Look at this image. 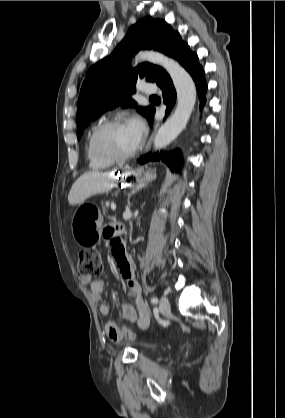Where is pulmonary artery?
Instances as JSON below:
<instances>
[{
	"instance_id": "1",
	"label": "pulmonary artery",
	"mask_w": 285,
	"mask_h": 418,
	"mask_svg": "<svg viewBox=\"0 0 285 418\" xmlns=\"http://www.w3.org/2000/svg\"><path fill=\"white\" fill-rule=\"evenodd\" d=\"M157 91V87L153 85H146L141 88V93L151 94Z\"/></svg>"
}]
</instances>
